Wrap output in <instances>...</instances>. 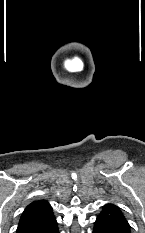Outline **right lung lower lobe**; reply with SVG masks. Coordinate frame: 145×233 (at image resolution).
Masks as SVG:
<instances>
[{
  "label": "right lung lower lobe",
  "mask_w": 145,
  "mask_h": 233,
  "mask_svg": "<svg viewBox=\"0 0 145 233\" xmlns=\"http://www.w3.org/2000/svg\"><path fill=\"white\" fill-rule=\"evenodd\" d=\"M32 233H59L56 218H53L46 225L42 226Z\"/></svg>",
  "instance_id": "right-lung-lower-lobe-1"
}]
</instances>
